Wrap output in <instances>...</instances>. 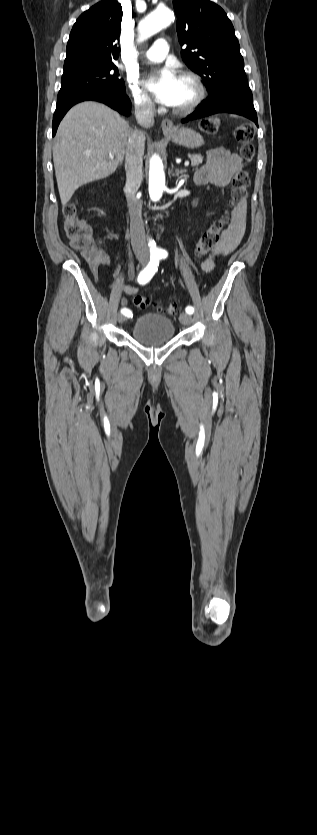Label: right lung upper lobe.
Listing matches in <instances>:
<instances>
[{
  "mask_svg": "<svg viewBox=\"0 0 317 835\" xmlns=\"http://www.w3.org/2000/svg\"><path fill=\"white\" fill-rule=\"evenodd\" d=\"M122 7L115 0H103L85 11L74 24L67 43L65 63L94 61L114 63L118 58Z\"/></svg>",
  "mask_w": 317,
  "mask_h": 835,
  "instance_id": "1",
  "label": "right lung upper lobe"
}]
</instances>
